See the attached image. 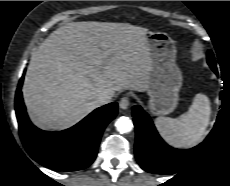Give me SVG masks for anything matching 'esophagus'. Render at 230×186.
<instances>
[{"label": "esophagus", "mask_w": 230, "mask_h": 186, "mask_svg": "<svg viewBox=\"0 0 230 186\" xmlns=\"http://www.w3.org/2000/svg\"><path fill=\"white\" fill-rule=\"evenodd\" d=\"M129 98L128 97H122L119 101V107L123 110L127 109L129 106Z\"/></svg>", "instance_id": "1"}]
</instances>
